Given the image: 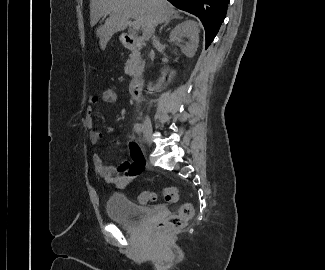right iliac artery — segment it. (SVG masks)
<instances>
[{"label": "right iliac artery", "instance_id": "right-iliac-artery-1", "mask_svg": "<svg viewBox=\"0 0 325 270\" xmlns=\"http://www.w3.org/2000/svg\"><path fill=\"white\" fill-rule=\"evenodd\" d=\"M134 130H135L137 133H141L142 130H143V126H142L141 124H139V123H136V124L134 125Z\"/></svg>", "mask_w": 325, "mask_h": 270}]
</instances>
